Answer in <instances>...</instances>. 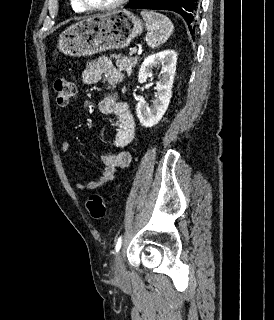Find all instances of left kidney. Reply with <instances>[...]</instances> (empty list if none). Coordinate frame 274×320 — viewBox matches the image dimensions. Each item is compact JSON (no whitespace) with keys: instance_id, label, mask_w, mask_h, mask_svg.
Here are the masks:
<instances>
[{"instance_id":"1","label":"left kidney","mask_w":274,"mask_h":320,"mask_svg":"<svg viewBox=\"0 0 274 320\" xmlns=\"http://www.w3.org/2000/svg\"><path fill=\"white\" fill-rule=\"evenodd\" d=\"M155 66H159L162 72V78L154 88L156 90L155 100H153L151 106H148L145 100H140L136 106L137 118L145 128H152V126L158 124L170 104L177 66V52L164 50V52L148 56L139 70V84L147 82L149 76H152V70Z\"/></svg>"}]
</instances>
